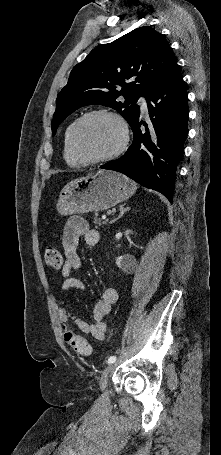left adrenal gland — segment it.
Masks as SVG:
<instances>
[{"mask_svg":"<svg viewBox=\"0 0 221 455\" xmlns=\"http://www.w3.org/2000/svg\"><path fill=\"white\" fill-rule=\"evenodd\" d=\"M124 206H125V205H121V206H120V213H119V215L117 216V218H115V219H113V220L111 221V224L114 223V222H116L117 220H119L121 217H123V215H124L126 212H128V211L130 210V207H126V208H125Z\"/></svg>","mask_w":221,"mask_h":455,"instance_id":"left-adrenal-gland-1","label":"left adrenal gland"}]
</instances>
